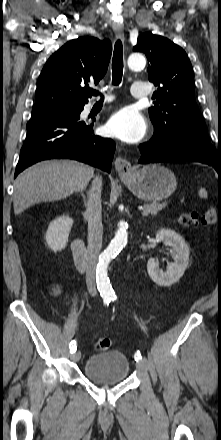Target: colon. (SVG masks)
Returning <instances> with one entry per match:
<instances>
[{
    "label": "colon",
    "mask_w": 221,
    "mask_h": 440,
    "mask_svg": "<svg viewBox=\"0 0 221 440\" xmlns=\"http://www.w3.org/2000/svg\"><path fill=\"white\" fill-rule=\"evenodd\" d=\"M216 214L213 209H207L202 213L190 211L179 215L178 222L184 227L193 226H211L215 223ZM52 294L59 293L58 287H53L51 290ZM111 346V339L107 337L99 338L94 344V349L98 352L106 351Z\"/></svg>",
    "instance_id": "1"
}]
</instances>
